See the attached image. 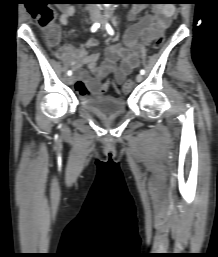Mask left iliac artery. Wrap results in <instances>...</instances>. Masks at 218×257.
I'll use <instances>...</instances> for the list:
<instances>
[{
    "mask_svg": "<svg viewBox=\"0 0 218 257\" xmlns=\"http://www.w3.org/2000/svg\"><path fill=\"white\" fill-rule=\"evenodd\" d=\"M106 29H107V32H108L110 35H114V30H113V28L111 27V25H110L109 23L106 24ZM140 73H141L142 75H144V74H145L144 69H141V70H140Z\"/></svg>",
    "mask_w": 218,
    "mask_h": 257,
    "instance_id": "left-iliac-artery-1",
    "label": "left iliac artery"
}]
</instances>
